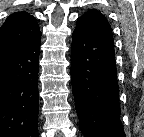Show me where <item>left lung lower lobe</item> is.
<instances>
[{
	"label": "left lung lower lobe",
	"mask_w": 144,
	"mask_h": 137,
	"mask_svg": "<svg viewBox=\"0 0 144 137\" xmlns=\"http://www.w3.org/2000/svg\"><path fill=\"white\" fill-rule=\"evenodd\" d=\"M111 34L77 22L72 35L71 81L85 137H125Z\"/></svg>",
	"instance_id": "obj_1"
}]
</instances>
